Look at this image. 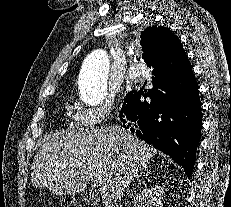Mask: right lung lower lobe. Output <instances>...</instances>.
I'll return each instance as SVG.
<instances>
[{
    "label": "right lung lower lobe",
    "instance_id": "obj_1",
    "mask_svg": "<svg viewBox=\"0 0 231 207\" xmlns=\"http://www.w3.org/2000/svg\"><path fill=\"white\" fill-rule=\"evenodd\" d=\"M153 28L145 29L141 40ZM152 74L153 88L128 93L119 117L125 128L169 155L190 178L202 127L197 81L191 65L181 70L153 69Z\"/></svg>",
    "mask_w": 231,
    "mask_h": 207
}]
</instances>
